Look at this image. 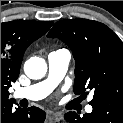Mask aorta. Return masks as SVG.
<instances>
[{
	"label": "aorta",
	"instance_id": "1",
	"mask_svg": "<svg viewBox=\"0 0 123 123\" xmlns=\"http://www.w3.org/2000/svg\"><path fill=\"white\" fill-rule=\"evenodd\" d=\"M24 72L30 79H41L47 72V64L43 58L31 57L24 64Z\"/></svg>",
	"mask_w": 123,
	"mask_h": 123
}]
</instances>
